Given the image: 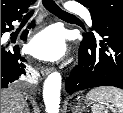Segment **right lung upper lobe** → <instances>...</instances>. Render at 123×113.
Returning <instances> with one entry per match:
<instances>
[{
	"label": "right lung upper lobe",
	"mask_w": 123,
	"mask_h": 113,
	"mask_svg": "<svg viewBox=\"0 0 123 113\" xmlns=\"http://www.w3.org/2000/svg\"><path fill=\"white\" fill-rule=\"evenodd\" d=\"M31 2V0H1V15L26 10Z\"/></svg>",
	"instance_id": "right-lung-upper-lobe-1"
}]
</instances>
